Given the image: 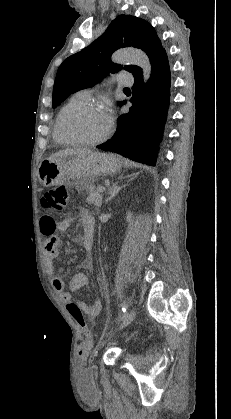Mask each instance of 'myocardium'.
Segmentation results:
<instances>
[{"instance_id": "f54148a6", "label": "myocardium", "mask_w": 231, "mask_h": 419, "mask_svg": "<svg viewBox=\"0 0 231 419\" xmlns=\"http://www.w3.org/2000/svg\"><path fill=\"white\" fill-rule=\"evenodd\" d=\"M87 110H101V107L96 103L86 102L68 110L61 119L60 128L63 136L74 144L97 145L105 141L111 134V124H109L104 134L95 139H84L71 133L68 129L69 120L76 114Z\"/></svg>"}]
</instances>
